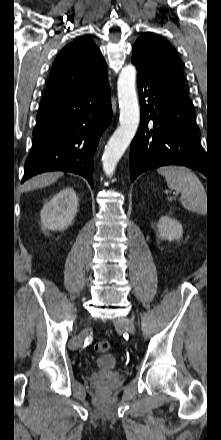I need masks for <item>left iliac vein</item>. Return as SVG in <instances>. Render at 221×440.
<instances>
[{
    "instance_id": "1",
    "label": "left iliac vein",
    "mask_w": 221,
    "mask_h": 440,
    "mask_svg": "<svg viewBox=\"0 0 221 440\" xmlns=\"http://www.w3.org/2000/svg\"><path fill=\"white\" fill-rule=\"evenodd\" d=\"M116 326L118 328H124L128 330L131 334L135 333V327L132 320L127 317H121L116 320Z\"/></svg>"
}]
</instances>
